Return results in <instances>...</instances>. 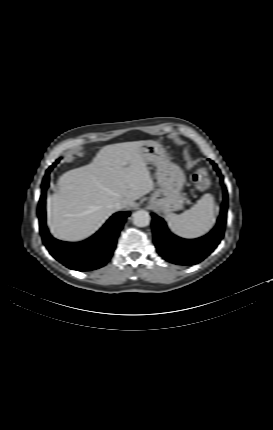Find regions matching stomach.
<instances>
[{
    "mask_svg": "<svg viewBox=\"0 0 273 430\" xmlns=\"http://www.w3.org/2000/svg\"><path fill=\"white\" fill-rule=\"evenodd\" d=\"M140 153L146 164L157 167L159 188L152 194L149 204L165 214L181 209L185 200L181 191L186 181L182 169L168 159L165 149L156 141H144Z\"/></svg>",
    "mask_w": 273,
    "mask_h": 430,
    "instance_id": "obj_1",
    "label": "stomach"
}]
</instances>
